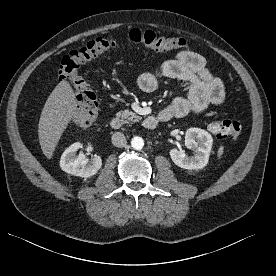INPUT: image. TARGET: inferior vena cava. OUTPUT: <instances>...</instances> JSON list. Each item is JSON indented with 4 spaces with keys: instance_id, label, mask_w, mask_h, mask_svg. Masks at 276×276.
<instances>
[{
    "instance_id": "inferior-vena-cava-1",
    "label": "inferior vena cava",
    "mask_w": 276,
    "mask_h": 276,
    "mask_svg": "<svg viewBox=\"0 0 276 276\" xmlns=\"http://www.w3.org/2000/svg\"><path fill=\"white\" fill-rule=\"evenodd\" d=\"M126 138L123 133L115 132L112 135V144L116 147H124L126 145Z\"/></svg>"
}]
</instances>
